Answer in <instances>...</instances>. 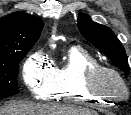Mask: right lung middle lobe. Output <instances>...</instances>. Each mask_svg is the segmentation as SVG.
Instances as JSON below:
<instances>
[{"instance_id":"right-lung-middle-lobe-1","label":"right lung middle lobe","mask_w":131,"mask_h":115,"mask_svg":"<svg viewBox=\"0 0 131 115\" xmlns=\"http://www.w3.org/2000/svg\"><path fill=\"white\" fill-rule=\"evenodd\" d=\"M29 50L14 53L10 55L8 61L0 62V100L19 92L17 85L19 63Z\"/></svg>"}]
</instances>
